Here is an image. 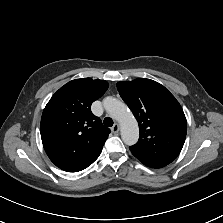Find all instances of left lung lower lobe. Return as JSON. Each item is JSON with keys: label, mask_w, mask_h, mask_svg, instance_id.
Wrapping results in <instances>:
<instances>
[{"label": "left lung lower lobe", "mask_w": 223, "mask_h": 223, "mask_svg": "<svg viewBox=\"0 0 223 223\" xmlns=\"http://www.w3.org/2000/svg\"><path fill=\"white\" fill-rule=\"evenodd\" d=\"M143 164H145L148 167H152V168H160V167H163V166H157V165H152V164H147V163H143Z\"/></svg>", "instance_id": "1"}]
</instances>
